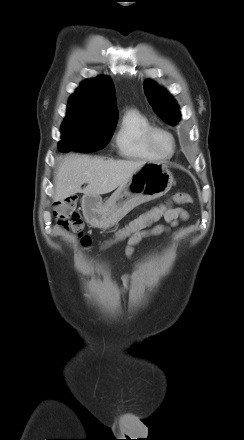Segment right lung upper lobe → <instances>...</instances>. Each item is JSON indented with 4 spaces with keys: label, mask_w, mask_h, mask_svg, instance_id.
<instances>
[{
    "label": "right lung upper lobe",
    "mask_w": 244,
    "mask_h": 440,
    "mask_svg": "<svg viewBox=\"0 0 244 440\" xmlns=\"http://www.w3.org/2000/svg\"><path fill=\"white\" fill-rule=\"evenodd\" d=\"M117 118L113 83L108 77H97L83 82L70 98L65 121L112 124Z\"/></svg>",
    "instance_id": "1"
}]
</instances>
